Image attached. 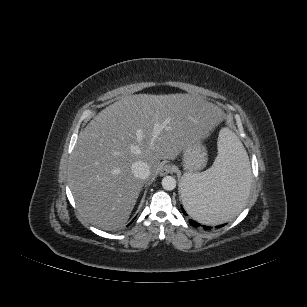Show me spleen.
<instances>
[{
  "label": "spleen",
  "instance_id": "spleen-1",
  "mask_svg": "<svg viewBox=\"0 0 307 307\" xmlns=\"http://www.w3.org/2000/svg\"><path fill=\"white\" fill-rule=\"evenodd\" d=\"M251 170L247 153L237 136L222 129L218 155L213 165L201 173H185L181 197L195 220L215 225L237 216L249 200Z\"/></svg>",
  "mask_w": 307,
  "mask_h": 307
}]
</instances>
